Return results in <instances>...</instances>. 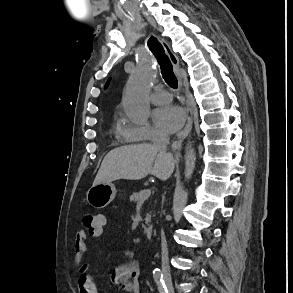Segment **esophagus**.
<instances>
[{"instance_id":"obj_1","label":"esophagus","mask_w":293,"mask_h":293,"mask_svg":"<svg viewBox=\"0 0 293 293\" xmlns=\"http://www.w3.org/2000/svg\"><path fill=\"white\" fill-rule=\"evenodd\" d=\"M161 43L165 49V52L166 54L168 55L174 69L178 72L179 70V59L178 57L175 55V53L171 50L169 44L163 40H161ZM179 83H180V86H182V78L181 76L179 75ZM186 109H187V114H188V119H187V123H186V126L184 127V129L182 131H180L177 135V139L179 141L183 140L184 138L187 137V135L189 134V132L191 131L192 129V123H193V116H192V110H191V107H190V104L189 102L187 101L186 103Z\"/></svg>"}]
</instances>
